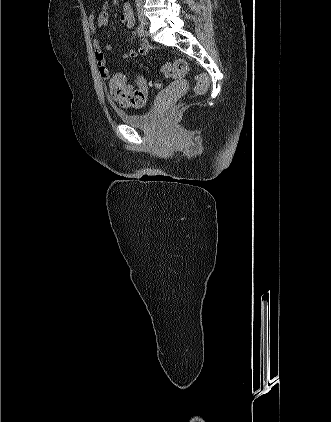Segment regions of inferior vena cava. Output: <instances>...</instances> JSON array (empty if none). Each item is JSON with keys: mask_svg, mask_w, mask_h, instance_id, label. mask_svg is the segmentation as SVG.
I'll return each mask as SVG.
<instances>
[{"mask_svg": "<svg viewBox=\"0 0 331 422\" xmlns=\"http://www.w3.org/2000/svg\"><path fill=\"white\" fill-rule=\"evenodd\" d=\"M137 11L142 9L143 0H135Z\"/></svg>", "mask_w": 331, "mask_h": 422, "instance_id": "1", "label": "inferior vena cava"}]
</instances>
